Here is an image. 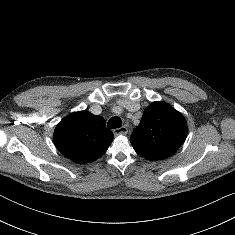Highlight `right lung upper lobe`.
<instances>
[{
	"mask_svg": "<svg viewBox=\"0 0 235 235\" xmlns=\"http://www.w3.org/2000/svg\"><path fill=\"white\" fill-rule=\"evenodd\" d=\"M57 149L76 163H88L100 158L113 141L101 116L87 111L75 112L57 124L54 135Z\"/></svg>",
	"mask_w": 235,
	"mask_h": 235,
	"instance_id": "obj_1",
	"label": "right lung upper lobe"
}]
</instances>
